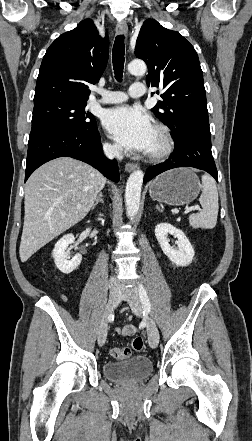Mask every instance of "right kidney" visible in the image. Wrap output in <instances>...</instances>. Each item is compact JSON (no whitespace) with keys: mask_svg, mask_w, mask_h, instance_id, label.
<instances>
[{"mask_svg":"<svg viewBox=\"0 0 252 441\" xmlns=\"http://www.w3.org/2000/svg\"><path fill=\"white\" fill-rule=\"evenodd\" d=\"M75 240L73 234H67L60 238L55 244L53 249V258L56 267L64 274H70L73 272L81 263L82 255L76 254L71 260H69V254L66 249L69 244L73 243Z\"/></svg>","mask_w":252,"mask_h":441,"instance_id":"1","label":"right kidney"}]
</instances>
